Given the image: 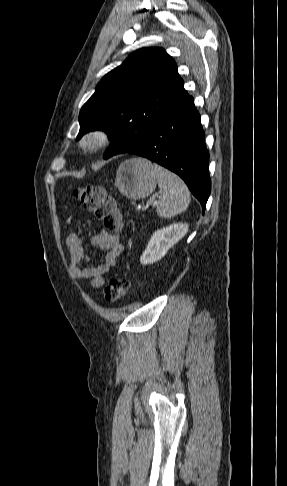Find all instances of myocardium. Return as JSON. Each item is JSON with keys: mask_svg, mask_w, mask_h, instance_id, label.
<instances>
[{"mask_svg": "<svg viewBox=\"0 0 287 486\" xmlns=\"http://www.w3.org/2000/svg\"><path fill=\"white\" fill-rule=\"evenodd\" d=\"M109 142V133L98 128L86 133L79 141V146L87 152H96L107 146Z\"/></svg>", "mask_w": 287, "mask_h": 486, "instance_id": "myocardium-1", "label": "myocardium"}]
</instances>
